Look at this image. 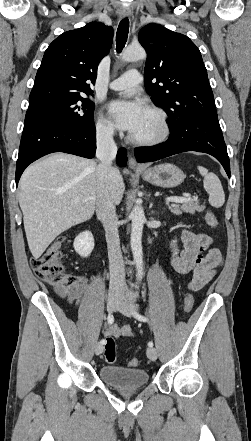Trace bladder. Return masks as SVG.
I'll return each instance as SVG.
<instances>
[{
  "instance_id": "31cf9c89",
  "label": "bladder",
  "mask_w": 251,
  "mask_h": 441,
  "mask_svg": "<svg viewBox=\"0 0 251 441\" xmlns=\"http://www.w3.org/2000/svg\"><path fill=\"white\" fill-rule=\"evenodd\" d=\"M100 379L117 389H133L149 382V373L144 369L105 365L99 370Z\"/></svg>"
}]
</instances>
